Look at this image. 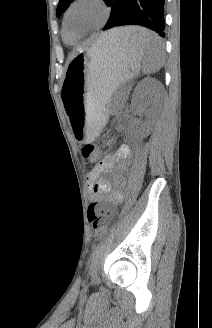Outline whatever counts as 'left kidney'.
<instances>
[{
    "label": "left kidney",
    "mask_w": 212,
    "mask_h": 328,
    "mask_svg": "<svg viewBox=\"0 0 212 328\" xmlns=\"http://www.w3.org/2000/svg\"><path fill=\"white\" fill-rule=\"evenodd\" d=\"M159 89H160V83L157 80L151 77H147L143 79L137 85L133 93L132 107L136 109L142 103V101L145 99L146 96H153L156 98L159 94ZM153 112H154L153 109H149L148 111L149 120L142 123L140 128H138L137 132L140 137H145L152 130L153 121L151 118L153 117ZM130 123L136 124L137 122L136 120L132 119Z\"/></svg>",
    "instance_id": "left-kidney-1"
}]
</instances>
